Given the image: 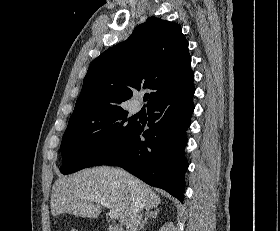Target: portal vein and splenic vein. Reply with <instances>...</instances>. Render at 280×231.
<instances>
[{
    "instance_id": "portal-vein-and-splenic-vein-1",
    "label": "portal vein and splenic vein",
    "mask_w": 280,
    "mask_h": 231,
    "mask_svg": "<svg viewBox=\"0 0 280 231\" xmlns=\"http://www.w3.org/2000/svg\"><path fill=\"white\" fill-rule=\"evenodd\" d=\"M96 201H101L103 205H109V201H104V199H96ZM110 219H116L119 215V209L118 207H110V211L108 213Z\"/></svg>"
}]
</instances>
